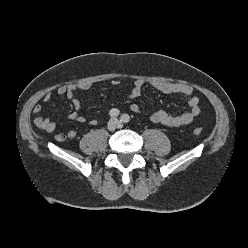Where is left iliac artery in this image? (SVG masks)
Returning <instances> with one entry per match:
<instances>
[{
  "label": "left iliac artery",
  "mask_w": 248,
  "mask_h": 248,
  "mask_svg": "<svg viewBox=\"0 0 248 248\" xmlns=\"http://www.w3.org/2000/svg\"><path fill=\"white\" fill-rule=\"evenodd\" d=\"M121 121H122L123 123H128V122L130 121L129 115H127V114L121 115Z\"/></svg>",
  "instance_id": "44dca946"
}]
</instances>
